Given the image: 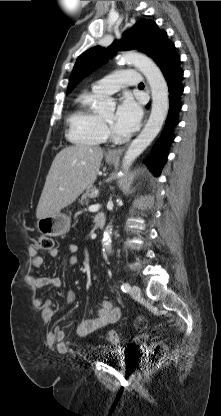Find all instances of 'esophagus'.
Listing matches in <instances>:
<instances>
[{
  "label": "esophagus",
  "mask_w": 221,
  "mask_h": 416,
  "mask_svg": "<svg viewBox=\"0 0 221 416\" xmlns=\"http://www.w3.org/2000/svg\"><path fill=\"white\" fill-rule=\"evenodd\" d=\"M123 150H124L123 148L110 150L107 153V157H109V158H119L121 156Z\"/></svg>",
  "instance_id": "esophagus-1"
}]
</instances>
